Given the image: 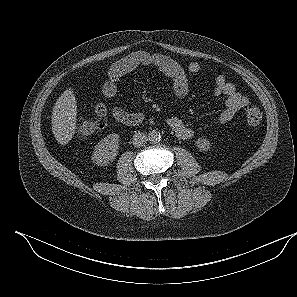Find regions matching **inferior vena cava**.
Returning <instances> with one entry per match:
<instances>
[{
  "mask_svg": "<svg viewBox=\"0 0 297 297\" xmlns=\"http://www.w3.org/2000/svg\"><path fill=\"white\" fill-rule=\"evenodd\" d=\"M148 141V137L145 133L137 132L132 138V143L135 147L144 146Z\"/></svg>",
  "mask_w": 297,
  "mask_h": 297,
  "instance_id": "obj_1",
  "label": "inferior vena cava"
}]
</instances>
